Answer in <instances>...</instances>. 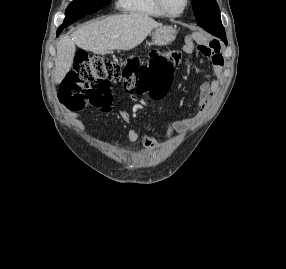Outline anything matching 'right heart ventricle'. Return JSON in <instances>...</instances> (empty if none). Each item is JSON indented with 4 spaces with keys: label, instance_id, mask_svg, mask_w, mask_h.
Wrapping results in <instances>:
<instances>
[{
    "label": "right heart ventricle",
    "instance_id": "right-heart-ventricle-1",
    "mask_svg": "<svg viewBox=\"0 0 286 269\" xmlns=\"http://www.w3.org/2000/svg\"><path fill=\"white\" fill-rule=\"evenodd\" d=\"M117 6L120 11L132 16L165 17L157 7L155 0H117Z\"/></svg>",
    "mask_w": 286,
    "mask_h": 269
}]
</instances>
